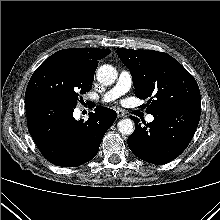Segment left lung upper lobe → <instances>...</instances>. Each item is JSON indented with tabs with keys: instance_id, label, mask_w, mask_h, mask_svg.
Instances as JSON below:
<instances>
[{
	"instance_id": "left-lung-upper-lobe-1",
	"label": "left lung upper lobe",
	"mask_w": 220,
	"mask_h": 220,
	"mask_svg": "<svg viewBox=\"0 0 220 220\" xmlns=\"http://www.w3.org/2000/svg\"><path fill=\"white\" fill-rule=\"evenodd\" d=\"M117 54L130 70L136 97L149 99L148 113L177 105L201 104L194 77L172 56L124 48H117Z\"/></svg>"
}]
</instances>
